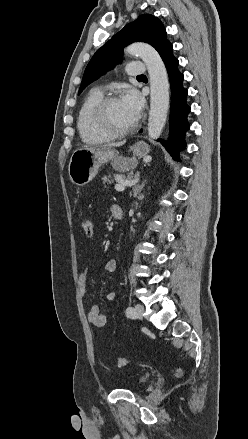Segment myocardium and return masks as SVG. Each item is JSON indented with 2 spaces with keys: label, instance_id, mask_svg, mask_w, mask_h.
Instances as JSON below:
<instances>
[{
  "label": "myocardium",
  "instance_id": "f54148a6",
  "mask_svg": "<svg viewBox=\"0 0 248 439\" xmlns=\"http://www.w3.org/2000/svg\"><path fill=\"white\" fill-rule=\"evenodd\" d=\"M120 98L116 95H108L103 97L95 106L93 110V121L95 125L103 132L113 136V137H121L130 134L133 132L137 123L134 122L131 126L123 129H119L114 127L109 120L108 110L110 105L119 100Z\"/></svg>",
  "mask_w": 248,
  "mask_h": 439
}]
</instances>
